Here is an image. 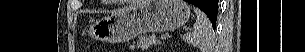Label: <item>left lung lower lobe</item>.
I'll return each instance as SVG.
<instances>
[{
	"mask_svg": "<svg viewBox=\"0 0 305 52\" xmlns=\"http://www.w3.org/2000/svg\"><path fill=\"white\" fill-rule=\"evenodd\" d=\"M187 2L199 7L204 12L206 9H218V0H187ZM212 25L215 30L216 23Z\"/></svg>",
	"mask_w": 305,
	"mask_h": 52,
	"instance_id": "1",
	"label": "left lung lower lobe"
}]
</instances>
